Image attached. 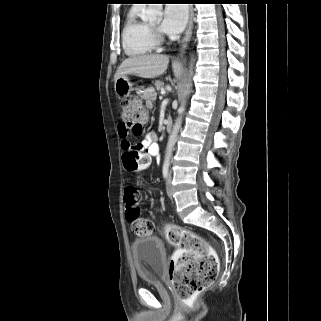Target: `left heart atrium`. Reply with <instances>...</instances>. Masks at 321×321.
<instances>
[{"label": "left heart atrium", "mask_w": 321, "mask_h": 321, "mask_svg": "<svg viewBox=\"0 0 321 321\" xmlns=\"http://www.w3.org/2000/svg\"><path fill=\"white\" fill-rule=\"evenodd\" d=\"M187 18L188 10L184 4H167L160 29L167 34L180 33L186 25Z\"/></svg>", "instance_id": "39dd6f15"}]
</instances>
